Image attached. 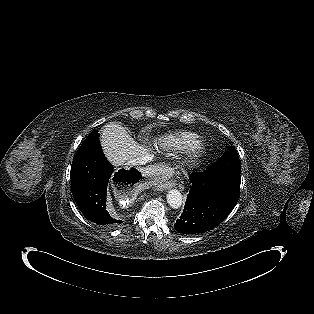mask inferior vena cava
I'll return each mask as SVG.
<instances>
[{"instance_id": "1", "label": "inferior vena cava", "mask_w": 314, "mask_h": 314, "mask_svg": "<svg viewBox=\"0 0 314 314\" xmlns=\"http://www.w3.org/2000/svg\"><path fill=\"white\" fill-rule=\"evenodd\" d=\"M152 156L151 155H143V156H139V157H136L130 161H128V165H132V166H136V165H143V164H146L147 162L151 161L152 160Z\"/></svg>"}]
</instances>
